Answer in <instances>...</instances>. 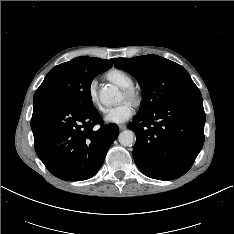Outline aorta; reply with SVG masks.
<instances>
[{"label":"aorta","mask_w":234,"mask_h":234,"mask_svg":"<svg viewBox=\"0 0 234 234\" xmlns=\"http://www.w3.org/2000/svg\"><path fill=\"white\" fill-rule=\"evenodd\" d=\"M119 95V91L114 86H105L100 90V100L105 105H111L115 102L116 97ZM134 132L131 130L122 131L118 140L123 146H130L134 142Z\"/></svg>","instance_id":"762f6f07"}]
</instances>
